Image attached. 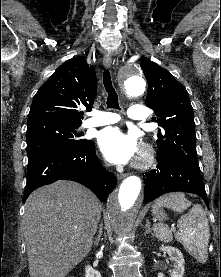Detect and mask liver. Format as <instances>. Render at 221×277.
<instances>
[{"instance_id": "1", "label": "liver", "mask_w": 221, "mask_h": 277, "mask_svg": "<svg viewBox=\"0 0 221 277\" xmlns=\"http://www.w3.org/2000/svg\"><path fill=\"white\" fill-rule=\"evenodd\" d=\"M102 206L86 187L60 180L32 192L23 231L30 277H65L90 252Z\"/></svg>"}]
</instances>
